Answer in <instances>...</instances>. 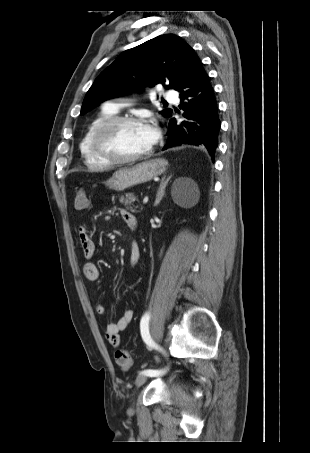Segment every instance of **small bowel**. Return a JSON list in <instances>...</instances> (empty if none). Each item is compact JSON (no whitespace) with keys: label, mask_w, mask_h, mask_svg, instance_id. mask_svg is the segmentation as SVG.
Masks as SVG:
<instances>
[{"label":"small bowel","mask_w":310,"mask_h":453,"mask_svg":"<svg viewBox=\"0 0 310 453\" xmlns=\"http://www.w3.org/2000/svg\"><path fill=\"white\" fill-rule=\"evenodd\" d=\"M121 215L129 229H135L137 227V218L134 214L126 210H121ZM78 237L81 245V250L86 262L83 265V274L84 277L91 282H97L100 279V270L99 268L91 262V259L95 253V244L91 238L87 228L85 226H80L78 230ZM141 256V250L137 242H133L130 247V262L134 266L137 264ZM95 310L97 314L104 316L106 314V309L104 305L97 301L95 304ZM134 317V311L132 309H127L124 311L122 316L114 322L107 324L105 329V336L109 343L118 347L120 344L119 333L124 331L128 325L131 323Z\"/></svg>","instance_id":"obj_1"}]
</instances>
